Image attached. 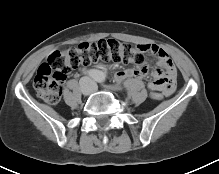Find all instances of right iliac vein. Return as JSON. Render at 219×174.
Listing matches in <instances>:
<instances>
[{
    "instance_id": "63e3f726",
    "label": "right iliac vein",
    "mask_w": 219,
    "mask_h": 174,
    "mask_svg": "<svg viewBox=\"0 0 219 174\" xmlns=\"http://www.w3.org/2000/svg\"><path fill=\"white\" fill-rule=\"evenodd\" d=\"M84 95H88V92L86 90H82Z\"/></svg>"
}]
</instances>
